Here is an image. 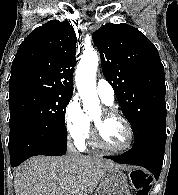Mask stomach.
<instances>
[{
  "label": "stomach",
  "mask_w": 178,
  "mask_h": 195,
  "mask_svg": "<svg viewBox=\"0 0 178 195\" xmlns=\"http://www.w3.org/2000/svg\"><path fill=\"white\" fill-rule=\"evenodd\" d=\"M124 171L122 167L107 170L99 184L98 195H132V179Z\"/></svg>",
  "instance_id": "stomach-1"
}]
</instances>
